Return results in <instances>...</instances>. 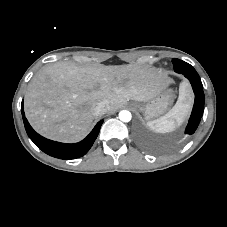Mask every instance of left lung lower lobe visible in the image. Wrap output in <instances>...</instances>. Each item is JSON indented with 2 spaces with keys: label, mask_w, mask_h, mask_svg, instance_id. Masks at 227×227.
<instances>
[{
  "label": "left lung lower lobe",
  "mask_w": 227,
  "mask_h": 227,
  "mask_svg": "<svg viewBox=\"0 0 227 227\" xmlns=\"http://www.w3.org/2000/svg\"><path fill=\"white\" fill-rule=\"evenodd\" d=\"M178 73L183 74L190 81L195 94V102L192 114L185 130L186 134L192 135L199 125L204 110V92L202 90L203 85L195 69L181 70Z\"/></svg>",
  "instance_id": "obj_1"
}]
</instances>
